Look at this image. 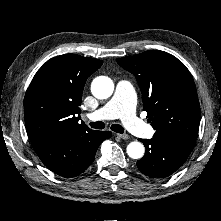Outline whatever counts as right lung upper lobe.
<instances>
[{
  "label": "right lung upper lobe",
  "instance_id": "obj_1",
  "mask_svg": "<svg viewBox=\"0 0 221 221\" xmlns=\"http://www.w3.org/2000/svg\"><path fill=\"white\" fill-rule=\"evenodd\" d=\"M101 60L64 54L48 60L35 74L24 98L29 138L43 134H82L91 131L79 123V106L86 79Z\"/></svg>",
  "mask_w": 221,
  "mask_h": 221
}]
</instances>
